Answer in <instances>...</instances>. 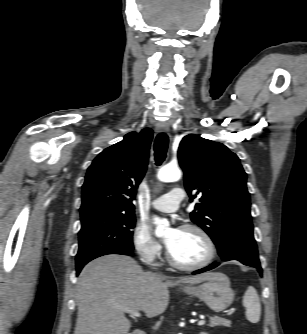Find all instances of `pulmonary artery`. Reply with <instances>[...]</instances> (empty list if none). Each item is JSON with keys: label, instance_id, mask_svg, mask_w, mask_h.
<instances>
[{"label": "pulmonary artery", "instance_id": "e3ab8cb5", "mask_svg": "<svg viewBox=\"0 0 307 334\" xmlns=\"http://www.w3.org/2000/svg\"><path fill=\"white\" fill-rule=\"evenodd\" d=\"M183 199V190L180 188H173L168 193L157 197L151 205L154 209L161 212H173L178 209Z\"/></svg>", "mask_w": 307, "mask_h": 334}]
</instances>
